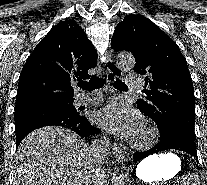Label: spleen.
Instances as JSON below:
<instances>
[{
	"label": "spleen",
	"instance_id": "1",
	"mask_svg": "<svg viewBox=\"0 0 207 185\" xmlns=\"http://www.w3.org/2000/svg\"><path fill=\"white\" fill-rule=\"evenodd\" d=\"M186 178H178L175 185H198L201 183V174H196V170H185Z\"/></svg>",
	"mask_w": 207,
	"mask_h": 185
}]
</instances>
